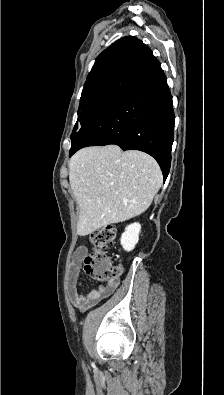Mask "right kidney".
Listing matches in <instances>:
<instances>
[{
    "instance_id": "right-kidney-1",
    "label": "right kidney",
    "mask_w": 224,
    "mask_h": 395,
    "mask_svg": "<svg viewBox=\"0 0 224 395\" xmlns=\"http://www.w3.org/2000/svg\"><path fill=\"white\" fill-rule=\"evenodd\" d=\"M140 231L141 225L139 223L130 224L125 228L120 239L121 245L125 251L130 252L135 248L139 241Z\"/></svg>"
}]
</instances>
